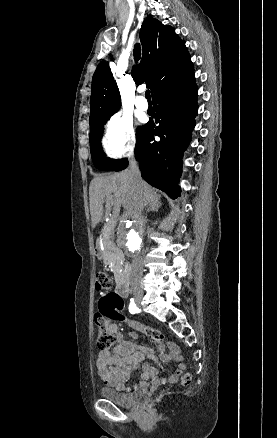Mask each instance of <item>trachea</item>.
<instances>
[{
	"mask_svg": "<svg viewBox=\"0 0 277 438\" xmlns=\"http://www.w3.org/2000/svg\"><path fill=\"white\" fill-rule=\"evenodd\" d=\"M134 58L136 60V62L140 59V55H141V49H140V45L139 43H136L135 47H134ZM146 98L148 100H150V90H146L145 92Z\"/></svg>",
	"mask_w": 277,
	"mask_h": 438,
	"instance_id": "3493384b",
	"label": "trachea"
}]
</instances>
